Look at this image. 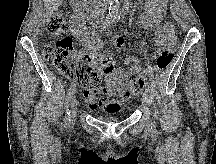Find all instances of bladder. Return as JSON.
Returning <instances> with one entry per match:
<instances>
[{"instance_id":"bladder-1","label":"bladder","mask_w":216,"mask_h":164,"mask_svg":"<svg viewBox=\"0 0 216 164\" xmlns=\"http://www.w3.org/2000/svg\"><path fill=\"white\" fill-rule=\"evenodd\" d=\"M102 119L105 121H116L117 120L116 117H102Z\"/></svg>"}]
</instances>
